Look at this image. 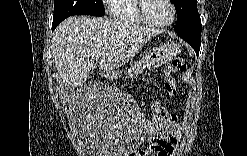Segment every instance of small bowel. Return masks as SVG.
I'll list each match as a JSON object with an SVG mask.
<instances>
[{
  "mask_svg": "<svg viewBox=\"0 0 247 156\" xmlns=\"http://www.w3.org/2000/svg\"><path fill=\"white\" fill-rule=\"evenodd\" d=\"M151 107H162V110H165L167 114V117L164 118V124H162V130H159L157 137L148 139V147L131 151V156H142L151 152L164 156L173 154L176 150L177 142L181 136V127L177 117L169 113L159 103H153ZM141 140H143V138H141Z\"/></svg>",
  "mask_w": 247,
  "mask_h": 156,
  "instance_id": "1",
  "label": "small bowel"
}]
</instances>
